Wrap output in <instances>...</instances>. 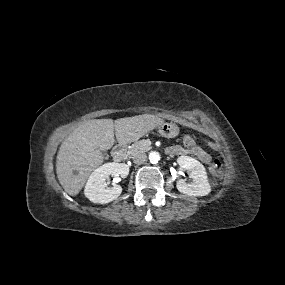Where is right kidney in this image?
<instances>
[{"instance_id": "ca27d5eb", "label": "right kidney", "mask_w": 285, "mask_h": 285, "mask_svg": "<svg viewBox=\"0 0 285 285\" xmlns=\"http://www.w3.org/2000/svg\"><path fill=\"white\" fill-rule=\"evenodd\" d=\"M129 173V167L124 163L110 162L103 164L90 175L85 189V196L93 203L106 204L117 199L122 193L120 185L114 184L107 187L106 180L110 176L125 178Z\"/></svg>"}]
</instances>
